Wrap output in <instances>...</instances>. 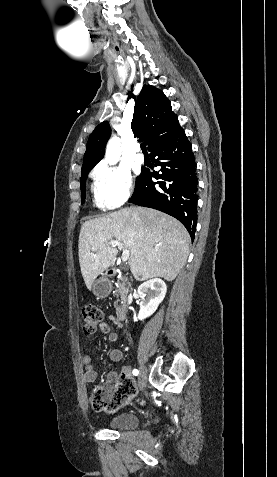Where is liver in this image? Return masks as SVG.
Masks as SVG:
<instances>
[{"instance_id": "liver-1", "label": "liver", "mask_w": 277, "mask_h": 477, "mask_svg": "<svg viewBox=\"0 0 277 477\" xmlns=\"http://www.w3.org/2000/svg\"><path fill=\"white\" fill-rule=\"evenodd\" d=\"M130 251L129 265L134 278L145 281L176 278L189 255L190 236L175 218L160 211L130 207L83 223L79 234V264L85 284L93 282L113 265L118 250L113 239Z\"/></svg>"}]
</instances>
